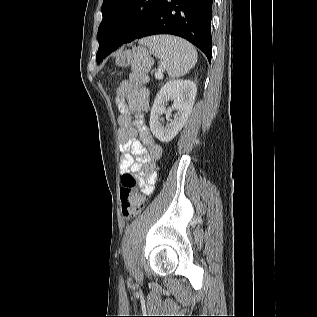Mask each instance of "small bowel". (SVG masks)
<instances>
[{
  "label": "small bowel",
  "mask_w": 317,
  "mask_h": 317,
  "mask_svg": "<svg viewBox=\"0 0 317 317\" xmlns=\"http://www.w3.org/2000/svg\"><path fill=\"white\" fill-rule=\"evenodd\" d=\"M115 101L120 112L117 119L120 172L137 174L142 193L150 195L154 190L155 166L162 155V147L155 141L143 120L148 107V90L125 80L116 90Z\"/></svg>",
  "instance_id": "1"
}]
</instances>
